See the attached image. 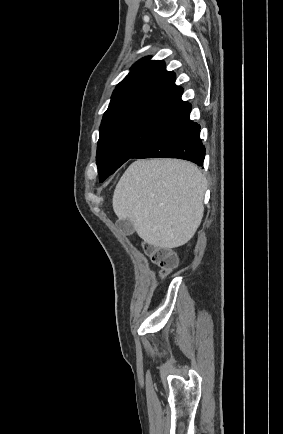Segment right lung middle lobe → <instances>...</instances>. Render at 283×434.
<instances>
[{
    "label": "right lung middle lobe",
    "instance_id": "dd1d6c3e",
    "mask_svg": "<svg viewBox=\"0 0 283 434\" xmlns=\"http://www.w3.org/2000/svg\"><path fill=\"white\" fill-rule=\"evenodd\" d=\"M173 122L149 114H129L102 122L96 155L100 182Z\"/></svg>",
    "mask_w": 283,
    "mask_h": 434
}]
</instances>
